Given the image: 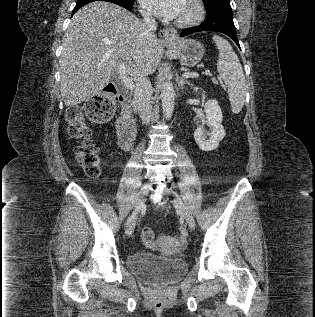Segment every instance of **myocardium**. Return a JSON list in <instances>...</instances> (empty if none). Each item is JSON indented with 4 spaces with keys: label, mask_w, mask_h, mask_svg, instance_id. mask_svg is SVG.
<instances>
[{
    "label": "myocardium",
    "mask_w": 315,
    "mask_h": 317,
    "mask_svg": "<svg viewBox=\"0 0 315 317\" xmlns=\"http://www.w3.org/2000/svg\"><path fill=\"white\" fill-rule=\"evenodd\" d=\"M192 12L186 18L176 19L175 25L179 27H191L200 23L205 16V7L202 0H188Z\"/></svg>",
    "instance_id": "1"
}]
</instances>
